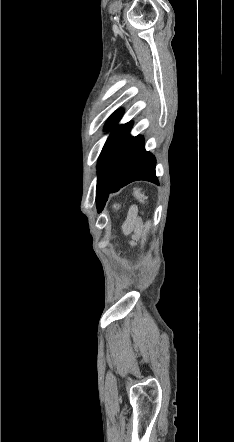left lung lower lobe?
<instances>
[{"label":"left lung lower lobe","mask_w":234,"mask_h":442,"mask_svg":"<svg viewBox=\"0 0 234 442\" xmlns=\"http://www.w3.org/2000/svg\"><path fill=\"white\" fill-rule=\"evenodd\" d=\"M122 111L115 112L106 128L113 127L121 118ZM132 122L113 130L98 160L96 202L101 210L111 192H116L132 181L147 180L158 183L155 175V157L145 151L142 136L129 135Z\"/></svg>","instance_id":"left-lung-lower-lobe-1"}]
</instances>
